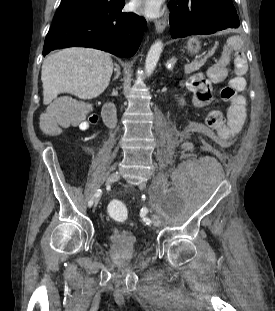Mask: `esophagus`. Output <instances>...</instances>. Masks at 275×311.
<instances>
[{"label":"esophagus","mask_w":275,"mask_h":311,"mask_svg":"<svg viewBox=\"0 0 275 311\" xmlns=\"http://www.w3.org/2000/svg\"><path fill=\"white\" fill-rule=\"evenodd\" d=\"M167 26V21L166 19H163V20H156L155 21V27H156V30L158 33H161L164 31V29L166 28Z\"/></svg>","instance_id":"esophagus-1"}]
</instances>
